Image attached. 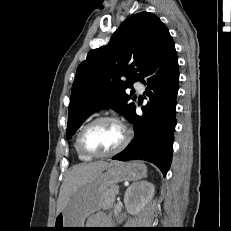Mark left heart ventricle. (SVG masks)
I'll use <instances>...</instances> for the list:
<instances>
[{
	"mask_svg": "<svg viewBox=\"0 0 231 231\" xmlns=\"http://www.w3.org/2000/svg\"><path fill=\"white\" fill-rule=\"evenodd\" d=\"M123 136V130L117 123L99 122L86 131L84 146L93 153H105L116 148Z\"/></svg>",
	"mask_w": 231,
	"mask_h": 231,
	"instance_id": "left-heart-ventricle-1",
	"label": "left heart ventricle"
}]
</instances>
